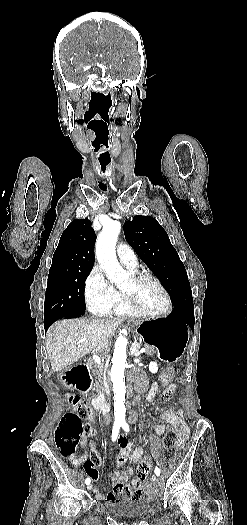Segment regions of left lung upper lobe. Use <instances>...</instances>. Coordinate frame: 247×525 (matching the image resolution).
I'll use <instances>...</instances> for the list:
<instances>
[{
	"mask_svg": "<svg viewBox=\"0 0 247 525\" xmlns=\"http://www.w3.org/2000/svg\"><path fill=\"white\" fill-rule=\"evenodd\" d=\"M126 241L161 281L174 308L193 305L188 276L164 228L151 216H135L124 224Z\"/></svg>",
	"mask_w": 247,
	"mask_h": 525,
	"instance_id": "left-lung-upper-lobe-1",
	"label": "left lung upper lobe"
}]
</instances>
